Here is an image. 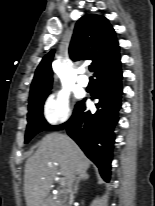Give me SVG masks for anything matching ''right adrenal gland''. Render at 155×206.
I'll return each mask as SVG.
<instances>
[{"instance_id": "2a0ac1e0", "label": "right adrenal gland", "mask_w": 155, "mask_h": 206, "mask_svg": "<svg viewBox=\"0 0 155 206\" xmlns=\"http://www.w3.org/2000/svg\"><path fill=\"white\" fill-rule=\"evenodd\" d=\"M87 179H89V175L87 174V172H83L78 176V179H77V182L75 185V189H74V194H77L80 182L85 181Z\"/></svg>"}]
</instances>
